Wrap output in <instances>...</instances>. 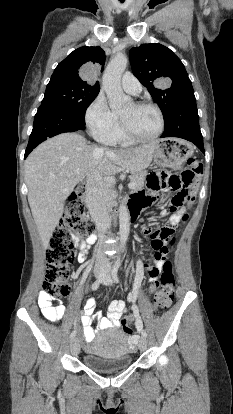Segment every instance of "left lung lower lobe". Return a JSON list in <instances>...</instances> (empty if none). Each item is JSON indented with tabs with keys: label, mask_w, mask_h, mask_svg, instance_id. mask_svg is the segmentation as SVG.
<instances>
[{
	"label": "left lung lower lobe",
	"mask_w": 233,
	"mask_h": 414,
	"mask_svg": "<svg viewBox=\"0 0 233 414\" xmlns=\"http://www.w3.org/2000/svg\"><path fill=\"white\" fill-rule=\"evenodd\" d=\"M164 122L162 138L178 137L188 140L205 154L196 100H187L179 104Z\"/></svg>",
	"instance_id": "0a47b994"
}]
</instances>
